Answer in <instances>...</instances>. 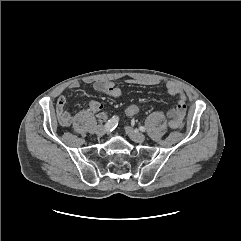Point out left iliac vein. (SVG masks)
Returning a JSON list of instances; mask_svg holds the SVG:
<instances>
[{"label": "left iliac vein", "mask_w": 241, "mask_h": 241, "mask_svg": "<svg viewBox=\"0 0 241 241\" xmlns=\"http://www.w3.org/2000/svg\"><path fill=\"white\" fill-rule=\"evenodd\" d=\"M126 133L129 135V137L138 143H141L145 140V135L141 132H139L136 129L131 128L130 126L125 127Z\"/></svg>", "instance_id": "4c4485c4"}]
</instances>
